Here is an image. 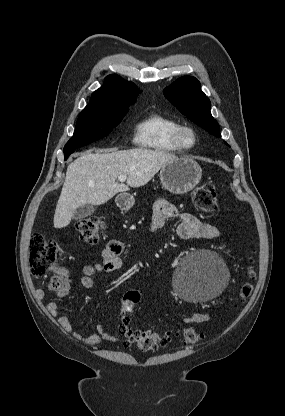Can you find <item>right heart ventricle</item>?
I'll return each mask as SVG.
<instances>
[{
	"instance_id": "1",
	"label": "right heart ventricle",
	"mask_w": 285,
	"mask_h": 416,
	"mask_svg": "<svg viewBox=\"0 0 285 416\" xmlns=\"http://www.w3.org/2000/svg\"><path fill=\"white\" fill-rule=\"evenodd\" d=\"M180 123L160 112H150L136 126V142L139 146L160 153H175L180 149L174 134Z\"/></svg>"
}]
</instances>
